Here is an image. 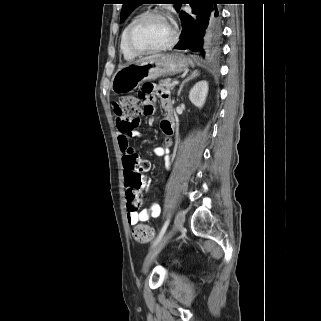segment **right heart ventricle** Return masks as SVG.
Listing matches in <instances>:
<instances>
[{
	"label": "right heart ventricle",
	"mask_w": 321,
	"mask_h": 321,
	"mask_svg": "<svg viewBox=\"0 0 321 321\" xmlns=\"http://www.w3.org/2000/svg\"><path fill=\"white\" fill-rule=\"evenodd\" d=\"M138 16H134L128 23L127 25L124 27L122 33H121V36H120V51L123 55V58L125 60H134L137 55L133 54L127 47V44H126V35H127V32H128V29L129 27L131 26V24L133 23V21L137 18Z\"/></svg>",
	"instance_id": "e07e8e85"
}]
</instances>
